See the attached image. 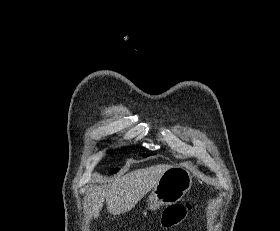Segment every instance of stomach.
I'll list each match as a JSON object with an SVG mask.
<instances>
[{
  "label": "stomach",
  "instance_id": "0dacf381",
  "mask_svg": "<svg viewBox=\"0 0 280 231\" xmlns=\"http://www.w3.org/2000/svg\"><path fill=\"white\" fill-rule=\"evenodd\" d=\"M192 175L184 167H170L162 173L158 183L153 187L147 201L148 209H158L160 205H171L184 197L192 187Z\"/></svg>",
  "mask_w": 280,
  "mask_h": 231
}]
</instances>
